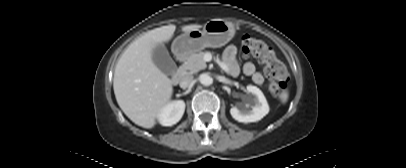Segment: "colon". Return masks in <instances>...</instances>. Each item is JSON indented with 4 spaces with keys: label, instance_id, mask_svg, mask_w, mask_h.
<instances>
[{
    "label": "colon",
    "instance_id": "obj_1",
    "mask_svg": "<svg viewBox=\"0 0 406 168\" xmlns=\"http://www.w3.org/2000/svg\"><path fill=\"white\" fill-rule=\"evenodd\" d=\"M241 50L246 58H255L265 65L268 89L272 95L279 96L286 86L288 73L273 48L264 40L245 35L242 37Z\"/></svg>",
    "mask_w": 406,
    "mask_h": 168
}]
</instances>
